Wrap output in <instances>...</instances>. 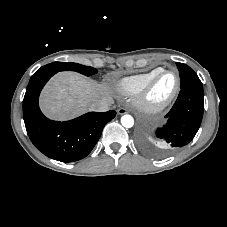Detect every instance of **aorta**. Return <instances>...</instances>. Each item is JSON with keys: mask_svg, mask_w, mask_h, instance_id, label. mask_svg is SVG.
<instances>
[{"mask_svg": "<svg viewBox=\"0 0 227 227\" xmlns=\"http://www.w3.org/2000/svg\"><path fill=\"white\" fill-rule=\"evenodd\" d=\"M121 124L125 128H131L134 125V119L131 115H123L121 117Z\"/></svg>", "mask_w": 227, "mask_h": 227, "instance_id": "762f6f07", "label": "aorta"}]
</instances>
